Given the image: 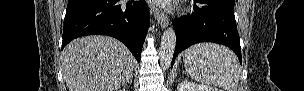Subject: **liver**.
I'll return each instance as SVG.
<instances>
[{
    "mask_svg": "<svg viewBox=\"0 0 304 91\" xmlns=\"http://www.w3.org/2000/svg\"><path fill=\"white\" fill-rule=\"evenodd\" d=\"M134 65L126 46L108 36L75 39L62 52L69 91H119L132 78Z\"/></svg>",
    "mask_w": 304,
    "mask_h": 91,
    "instance_id": "obj_1",
    "label": "liver"
}]
</instances>
